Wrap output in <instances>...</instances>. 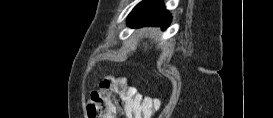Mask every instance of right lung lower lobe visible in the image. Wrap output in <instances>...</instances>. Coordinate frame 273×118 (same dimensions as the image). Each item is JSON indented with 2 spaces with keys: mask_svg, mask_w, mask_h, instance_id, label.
<instances>
[{
  "mask_svg": "<svg viewBox=\"0 0 273 118\" xmlns=\"http://www.w3.org/2000/svg\"><path fill=\"white\" fill-rule=\"evenodd\" d=\"M127 21L132 27L152 25L166 29L171 22V15L161 0H143L132 10Z\"/></svg>",
  "mask_w": 273,
  "mask_h": 118,
  "instance_id": "1",
  "label": "right lung lower lobe"
}]
</instances>
